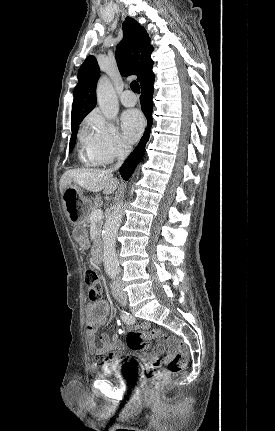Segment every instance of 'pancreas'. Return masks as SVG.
<instances>
[{"label": "pancreas", "mask_w": 275, "mask_h": 431, "mask_svg": "<svg viewBox=\"0 0 275 431\" xmlns=\"http://www.w3.org/2000/svg\"><path fill=\"white\" fill-rule=\"evenodd\" d=\"M101 205H102V199H101V197L100 196H96L95 199H94L93 204L89 208V212H88V215H87V218H86V222L88 224L91 223V219H90L91 213L93 211L99 209ZM101 228H102V221H98L97 222V236H96L95 242H98V240L100 239Z\"/></svg>", "instance_id": "pancreas-1"}]
</instances>
